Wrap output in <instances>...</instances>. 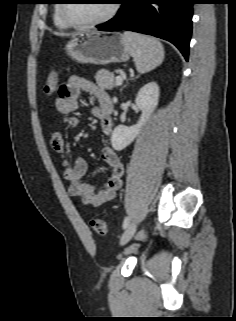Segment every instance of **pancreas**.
Wrapping results in <instances>:
<instances>
[{
	"label": "pancreas",
	"instance_id": "obj_1",
	"mask_svg": "<svg viewBox=\"0 0 236 321\" xmlns=\"http://www.w3.org/2000/svg\"><path fill=\"white\" fill-rule=\"evenodd\" d=\"M95 79L98 86L102 89L111 90L117 86L116 78L114 77L113 73L105 69L99 70L95 75Z\"/></svg>",
	"mask_w": 236,
	"mask_h": 321
}]
</instances>
